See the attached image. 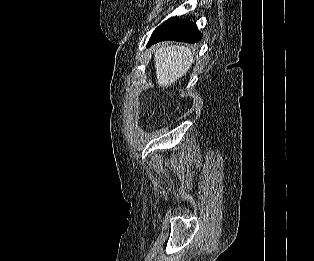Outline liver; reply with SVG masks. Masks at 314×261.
I'll list each match as a JSON object with an SVG mask.
<instances>
[{
  "label": "liver",
  "mask_w": 314,
  "mask_h": 261,
  "mask_svg": "<svg viewBox=\"0 0 314 261\" xmlns=\"http://www.w3.org/2000/svg\"><path fill=\"white\" fill-rule=\"evenodd\" d=\"M157 83L163 89L186 75L193 64V55L188 47L162 44L154 51Z\"/></svg>",
  "instance_id": "1"
}]
</instances>
